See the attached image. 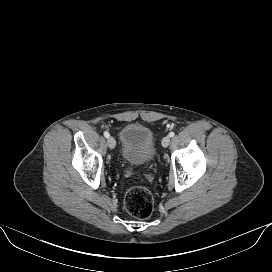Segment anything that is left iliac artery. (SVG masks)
Instances as JSON below:
<instances>
[{"label": "left iliac artery", "mask_w": 272, "mask_h": 272, "mask_svg": "<svg viewBox=\"0 0 272 272\" xmlns=\"http://www.w3.org/2000/svg\"><path fill=\"white\" fill-rule=\"evenodd\" d=\"M175 133L174 132H170L169 133V137H174Z\"/></svg>", "instance_id": "44dca946"}]
</instances>
